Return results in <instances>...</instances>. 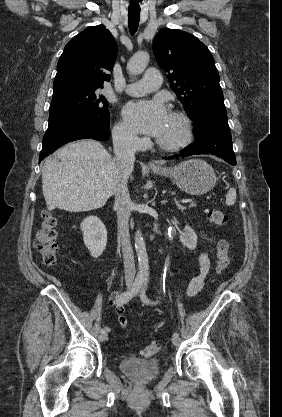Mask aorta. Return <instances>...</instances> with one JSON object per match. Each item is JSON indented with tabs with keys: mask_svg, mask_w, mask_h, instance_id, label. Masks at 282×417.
<instances>
[{
	"mask_svg": "<svg viewBox=\"0 0 282 417\" xmlns=\"http://www.w3.org/2000/svg\"><path fill=\"white\" fill-rule=\"evenodd\" d=\"M148 62V52H135V54L131 56L129 62H127V70L128 72H130V74H140V72H143V70H145ZM134 245L138 259L137 277L138 279H149V257L141 229H136Z\"/></svg>",
	"mask_w": 282,
	"mask_h": 417,
	"instance_id": "1",
	"label": "aorta"
}]
</instances>
